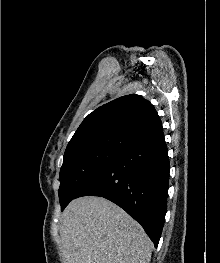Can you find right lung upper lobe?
<instances>
[{"label": "right lung upper lobe", "mask_w": 220, "mask_h": 263, "mask_svg": "<svg viewBox=\"0 0 220 263\" xmlns=\"http://www.w3.org/2000/svg\"><path fill=\"white\" fill-rule=\"evenodd\" d=\"M163 133L154 106L131 94L94 110L81 123L65 153L91 148L124 150L128 146Z\"/></svg>", "instance_id": "right-lung-upper-lobe-1"}]
</instances>
